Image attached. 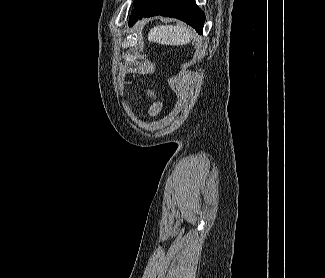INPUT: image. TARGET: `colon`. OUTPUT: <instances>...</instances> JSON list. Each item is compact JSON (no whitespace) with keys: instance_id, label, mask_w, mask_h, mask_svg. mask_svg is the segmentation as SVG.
Wrapping results in <instances>:
<instances>
[{"instance_id":"colon-1","label":"colon","mask_w":325,"mask_h":278,"mask_svg":"<svg viewBox=\"0 0 325 278\" xmlns=\"http://www.w3.org/2000/svg\"><path fill=\"white\" fill-rule=\"evenodd\" d=\"M150 93H151V94H154V92H153V91H150Z\"/></svg>"}]
</instances>
